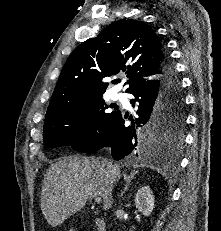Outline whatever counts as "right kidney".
I'll list each match as a JSON object with an SVG mask.
<instances>
[{
    "instance_id": "1",
    "label": "right kidney",
    "mask_w": 221,
    "mask_h": 231,
    "mask_svg": "<svg viewBox=\"0 0 221 231\" xmlns=\"http://www.w3.org/2000/svg\"><path fill=\"white\" fill-rule=\"evenodd\" d=\"M135 205L144 216H150L154 209V196L149 186L138 190L135 197Z\"/></svg>"
}]
</instances>
